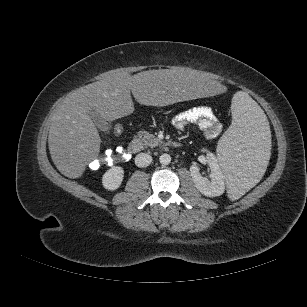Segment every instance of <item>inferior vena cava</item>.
Instances as JSON below:
<instances>
[{"instance_id": "obj_1", "label": "inferior vena cava", "mask_w": 307, "mask_h": 307, "mask_svg": "<svg viewBox=\"0 0 307 307\" xmlns=\"http://www.w3.org/2000/svg\"><path fill=\"white\" fill-rule=\"evenodd\" d=\"M152 162V156L148 153H139L135 157V164L138 167H147Z\"/></svg>"}]
</instances>
